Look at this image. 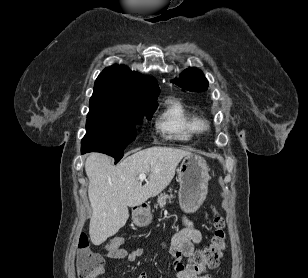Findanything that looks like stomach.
<instances>
[{
	"mask_svg": "<svg viewBox=\"0 0 308 278\" xmlns=\"http://www.w3.org/2000/svg\"><path fill=\"white\" fill-rule=\"evenodd\" d=\"M177 174L179 205L184 212L193 213L202 205L208 192V165L201 156L190 154L182 160ZM151 221L149 208H140L134 213V222L140 226H146Z\"/></svg>",
	"mask_w": 308,
	"mask_h": 278,
	"instance_id": "obj_1",
	"label": "stomach"
}]
</instances>
